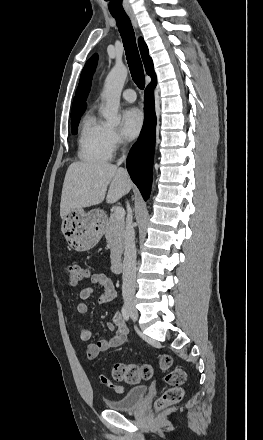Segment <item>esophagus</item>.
Wrapping results in <instances>:
<instances>
[{
  "instance_id": "1",
  "label": "esophagus",
  "mask_w": 263,
  "mask_h": 440,
  "mask_svg": "<svg viewBox=\"0 0 263 440\" xmlns=\"http://www.w3.org/2000/svg\"><path fill=\"white\" fill-rule=\"evenodd\" d=\"M127 15L129 16L133 26L137 29L138 25H137V19L135 14L133 13L132 10H127Z\"/></svg>"
}]
</instances>
